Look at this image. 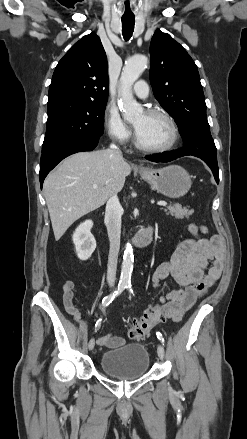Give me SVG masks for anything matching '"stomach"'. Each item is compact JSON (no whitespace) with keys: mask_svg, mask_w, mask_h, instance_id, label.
<instances>
[{"mask_svg":"<svg viewBox=\"0 0 247 439\" xmlns=\"http://www.w3.org/2000/svg\"><path fill=\"white\" fill-rule=\"evenodd\" d=\"M139 173L152 188L170 198L184 196L192 185L188 172L178 165L158 169L143 168L139 170Z\"/></svg>","mask_w":247,"mask_h":439,"instance_id":"obj_1","label":"stomach"}]
</instances>
